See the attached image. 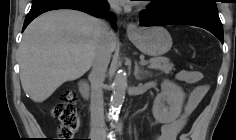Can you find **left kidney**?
Wrapping results in <instances>:
<instances>
[{
    "mask_svg": "<svg viewBox=\"0 0 236 140\" xmlns=\"http://www.w3.org/2000/svg\"><path fill=\"white\" fill-rule=\"evenodd\" d=\"M185 93L171 81H164L161 93L153 103V116L159 123H170L179 117L182 111Z\"/></svg>",
    "mask_w": 236,
    "mask_h": 140,
    "instance_id": "left-kidney-1",
    "label": "left kidney"
}]
</instances>
